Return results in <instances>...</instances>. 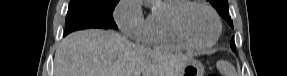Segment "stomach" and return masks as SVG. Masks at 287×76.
I'll use <instances>...</instances> for the list:
<instances>
[{
	"label": "stomach",
	"instance_id": "0dacf381",
	"mask_svg": "<svg viewBox=\"0 0 287 76\" xmlns=\"http://www.w3.org/2000/svg\"><path fill=\"white\" fill-rule=\"evenodd\" d=\"M203 65L195 59H190L183 68L180 76H204Z\"/></svg>",
	"mask_w": 287,
	"mask_h": 76
}]
</instances>
